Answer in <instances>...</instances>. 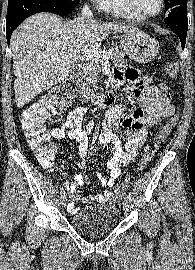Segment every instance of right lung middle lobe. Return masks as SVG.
<instances>
[{
	"label": "right lung middle lobe",
	"mask_w": 195,
	"mask_h": 270,
	"mask_svg": "<svg viewBox=\"0 0 195 270\" xmlns=\"http://www.w3.org/2000/svg\"><path fill=\"white\" fill-rule=\"evenodd\" d=\"M57 2L55 14L65 16L69 14L78 4V2L72 3L75 0H52Z\"/></svg>",
	"instance_id": "obj_1"
}]
</instances>
